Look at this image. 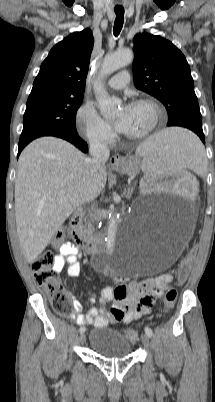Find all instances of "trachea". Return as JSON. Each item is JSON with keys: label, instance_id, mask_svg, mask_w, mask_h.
Returning a JSON list of instances; mask_svg holds the SVG:
<instances>
[{"label": "trachea", "instance_id": "3493384b", "mask_svg": "<svg viewBox=\"0 0 215 402\" xmlns=\"http://www.w3.org/2000/svg\"><path fill=\"white\" fill-rule=\"evenodd\" d=\"M116 19L114 23L113 33L115 36H118L120 31L122 30L124 23V10L123 9H115Z\"/></svg>", "mask_w": 215, "mask_h": 402}]
</instances>
